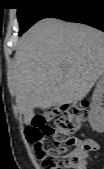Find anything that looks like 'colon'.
Returning a JSON list of instances; mask_svg holds the SVG:
<instances>
[{"mask_svg":"<svg viewBox=\"0 0 104 169\" xmlns=\"http://www.w3.org/2000/svg\"><path fill=\"white\" fill-rule=\"evenodd\" d=\"M88 102L81 101L64 107L50 109L37 115L25 129V136L32 145L42 169H84L85 158L81 152H90L93 145L82 141L75 134L88 118ZM59 116L51 125L49 122ZM51 138V142H45Z\"/></svg>","mask_w":104,"mask_h":169,"instance_id":"obj_1","label":"colon"}]
</instances>
